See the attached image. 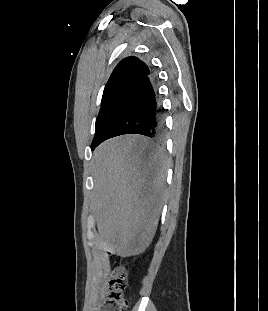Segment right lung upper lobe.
I'll list each match as a JSON object with an SVG mask.
<instances>
[{
  "mask_svg": "<svg viewBox=\"0 0 268 311\" xmlns=\"http://www.w3.org/2000/svg\"><path fill=\"white\" fill-rule=\"evenodd\" d=\"M150 72L148 66L137 57H127L119 62L113 70L103 95H106L122 86L137 84Z\"/></svg>",
  "mask_w": 268,
  "mask_h": 311,
  "instance_id": "right-lung-upper-lobe-1",
  "label": "right lung upper lobe"
}]
</instances>
